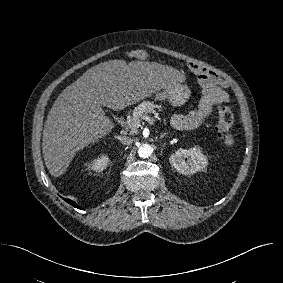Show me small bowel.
<instances>
[{
  "instance_id": "1",
  "label": "small bowel",
  "mask_w": 283,
  "mask_h": 283,
  "mask_svg": "<svg viewBox=\"0 0 283 283\" xmlns=\"http://www.w3.org/2000/svg\"><path fill=\"white\" fill-rule=\"evenodd\" d=\"M189 69L198 77L203 96L197 110L187 115L175 114L172 116L173 126L180 130L202 125L206 122L214 104L228 102L229 100L227 93L222 89V81L216 73L196 63H190Z\"/></svg>"
}]
</instances>
